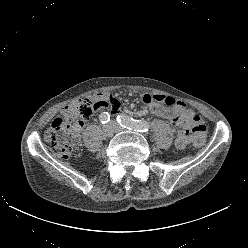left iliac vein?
<instances>
[{
	"instance_id": "obj_1",
	"label": "left iliac vein",
	"mask_w": 248,
	"mask_h": 248,
	"mask_svg": "<svg viewBox=\"0 0 248 248\" xmlns=\"http://www.w3.org/2000/svg\"><path fill=\"white\" fill-rule=\"evenodd\" d=\"M110 124H112L114 127H115V131L116 132H120V131H123L124 130V128L123 127H121L118 123H116V122H111Z\"/></svg>"
}]
</instances>
